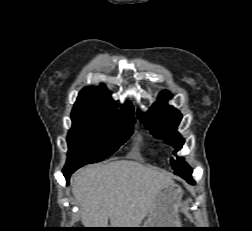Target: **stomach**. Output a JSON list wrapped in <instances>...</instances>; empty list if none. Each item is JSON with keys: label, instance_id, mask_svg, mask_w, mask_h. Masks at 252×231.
<instances>
[{"label": "stomach", "instance_id": "1", "mask_svg": "<svg viewBox=\"0 0 252 231\" xmlns=\"http://www.w3.org/2000/svg\"><path fill=\"white\" fill-rule=\"evenodd\" d=\"M182 190L174 183L164 187L158 194L148 216V220L138 228L141 230H174L151 228H179L178 209L181 203Z\"/></svg>", "mask_w": 252, "mask_h": 231}]
</instances>
